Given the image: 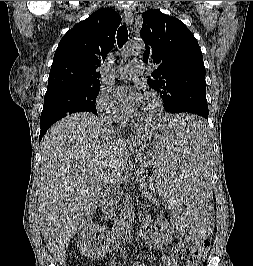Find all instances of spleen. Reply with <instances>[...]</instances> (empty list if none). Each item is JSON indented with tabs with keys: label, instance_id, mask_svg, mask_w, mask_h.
<instances>
[{
	"label": "spleen",
	"instance_id": "1",
	"mask_svg": "<svg viewBox=\"0 0 253 266\" xmlns=\"http://www.w3.org/2000/svg\"><path fill=\"white\" fill-rule=\"evenodd\" d=\"M201 129L196 115H165L162 145L154 151L147 178L151 199H158L162 210H173L170 229L177 248H200L214 235L209 136Z\"/></svg>",
	"mask_w": 253,
	"mask_h": 266
}]
</instances>
